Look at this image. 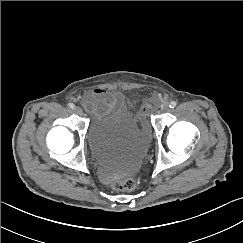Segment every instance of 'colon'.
Returning <instances> with one entry per match:
<instances>
[{"mask_svg": "<svg viewBox=\"0 0 243 243\" xmlns=\"http://www.w3.org/2000/svg\"><path fill=\"white\" fill-rule=\"evenodd\" d=\"M141 118H145V107H140ZM137 185V181L134 178H128L123 180H117L113 183L112 187L116 191L127 192L132 191Z\"/></svg>", "mask_w": 243, "mask_h": 243, "instance_id": "1", "label": "colon"}]
</instances>
